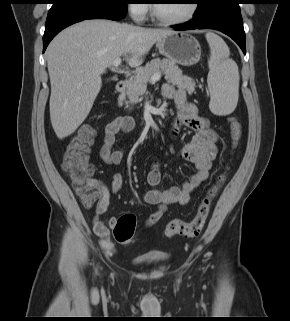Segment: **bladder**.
<instances>
[{
  "instance_id": "31cf9c89",
  "label": "bladder",
  "mask_w": 290,
  "mask_h": 321,
  "mask_svg": "<svg viewBox=\"0 0 290 321\" xmlns=\"http://www.w3.org/2000/svg\"><path fill=\"white\" fill-rule=\"evenodd\" d=\"M169 258L168 255H158V256H153V257H138L134 259V262L137 264H142V263H149V262H158V261H165Z\"/></svg>"
}]
</instances>
